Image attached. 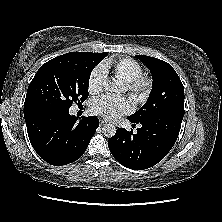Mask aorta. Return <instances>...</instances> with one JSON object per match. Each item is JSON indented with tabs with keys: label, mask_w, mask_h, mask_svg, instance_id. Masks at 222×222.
I'll use <instances>...</instances> for the list:
<instances>
[{
	"label": "aorta",
	"mask_w": 222,
	"mask_h": 222,
	"mask_svg": "<svg viewBox=\"0 0 222 222\" xmlns=\"http://www.w3.org/2000/svg\"><path fill=\"white\" fill-rule=\"evenodd\" d=\"M104 89H105V91H109V92H118L119 85H118V83H116L114 81H107L104 84ZM102 132L108 138L113 137L116 133V127H115V125H113L111 123L105 124L102 128Z\"/></svg>",
	"instance_id": "aorta-1"
}]
</instances>
